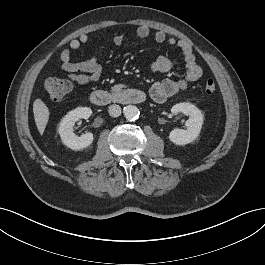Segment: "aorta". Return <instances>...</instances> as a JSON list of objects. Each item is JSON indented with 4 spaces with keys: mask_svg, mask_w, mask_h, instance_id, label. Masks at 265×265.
<instances>
[{
    "mask_svg": "<svg viewBox=\"0 0 265 265\" xmlns=\"http://www.w3.org/2000/svg\"><path fill=\"white\" fill-rule=\"evenodd\" d=\"M124 117L127 120H136L139 117V109L134 105L124 107Z\"/></svg>",
    "mask_w": 265,
    "mask_h": 265,
    "instance_id": "obj_1",
    "label": "aorta"
}]
</instances>
